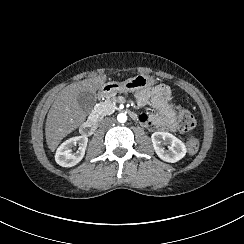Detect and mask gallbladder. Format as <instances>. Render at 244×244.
<instances>
[{
    "label": "gallbladder",
    "mask_w": 244,
    "mask_h": 244,
    "mask_svg": "<svg viewBox=\"0 0 244 244\" xmlns=\"http://www.w3.org/2000/svg\"><path fill=\"white\" fill-rule=\"evenodd\" d=\"M78 103L81 110L88 115L96 103V96L94 93L82 92L78 95Z\"/></svg>",
    "instance_id": "bac80fb5"
}]
</instances>
